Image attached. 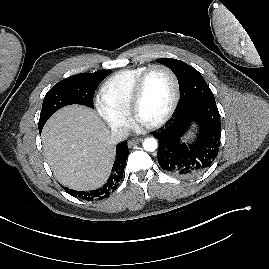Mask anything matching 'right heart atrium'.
<instances>
[{
  "instance_id": "d8ad5b80",
  "label": "right heart atrium",
  "mask_w": 269,
  "mask_h": 269,
  "mask_svg": "<svg viewBox=\"0 0 269 269\" xmlns=\"http://www.w3.org/2000/svg\"><path fill=\"white\" fill-rule=\"evenodd\" d=\"M95 106L99 115L113 130L125 131L129 128L130 119L127 113L112 108L102 98L96 99Z\"/></svg>"
}]
</instances>
